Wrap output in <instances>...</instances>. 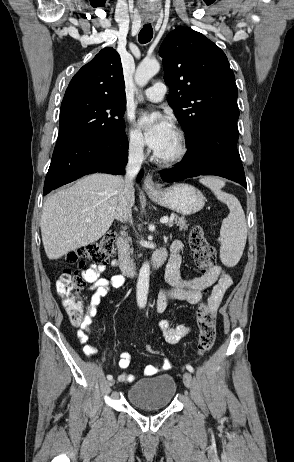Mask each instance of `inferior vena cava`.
<instances>
[{
	"mask_svg": "<svg viewBox=\"0 0 294 462\" xmlns=\"http://www.w3.org/2000/svg\"><path fill=\"white\" fill-rule=\"evenodd\" d=\"M143 147L144 144L141 141H135L129 145L126 176L123 180L122 190L114 213L115 219L122 223L130 222L132 219L131 203L134 196L133 183L144 160Z\"/></svg>",
	"mask_w": 294,
	"mask_h": 462,
	"instance_id": "602c4592",
	"label": "inferior vena cava"
}]
</instances>
